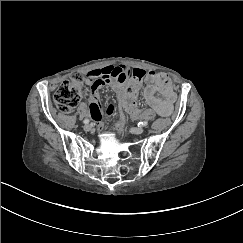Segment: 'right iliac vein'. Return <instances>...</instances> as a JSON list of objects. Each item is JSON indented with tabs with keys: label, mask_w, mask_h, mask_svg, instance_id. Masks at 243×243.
<instances>
[{
	"label": "right iliac vein",
	"mask_w": 243,
	"mask_h": 243,
	"mask_svg": "<svg viewBox=\"0 0 243 243\" xmlns=\"http://www.w3.org/2000/svg\"><path fill=\"white\" fill-rule=\"evenodd\" d=\"M83 128L86 132L91 130V126L89 124H86Z\"/></svg>",
	"instance_id": "1"
}]
</instances>
